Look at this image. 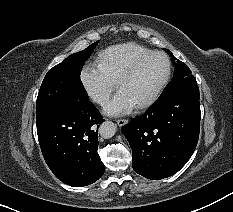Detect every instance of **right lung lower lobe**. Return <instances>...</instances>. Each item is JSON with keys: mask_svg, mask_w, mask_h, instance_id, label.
<instances>
[{"mask_svg": "<svg viewBox=\"0 0 233 212\" xmlns=\"http://www.w3.org/2000/svg\"><path fill=\"white\" fill-rule=\"evenodd\" d=\"M104 122L89 101L72 102L36 123L44 159L62 182L82 187L104 174L98 155V126Z\"/></svg>", "mask_w": 233, "mask_h": 212, "instance_id": "1", "label": "right lung lower lobe"}]
</instances>
